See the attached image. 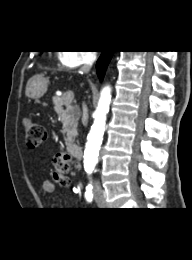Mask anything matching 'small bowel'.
Segmentation results:
<instances>
[{"instance_id":"obj_1","label":"small bowel","mask_w":192,"mask_h":260,"mask_svg":"<svg viewBox=\"0 0 192 260\" xmlns=\"http://www.w3.org/2000/svg\"><path fill=\"white\" fill-rule=\"evenodd\" d=\"M55 189H56L55 183L51 179L46 178L42 185L43 192L48 195L53 193ZM75 190L78 191V188H75Z\"/></svg>"}]
</instances>
